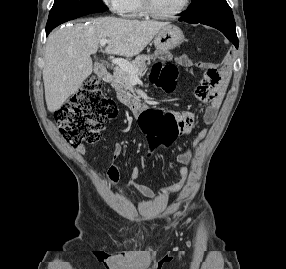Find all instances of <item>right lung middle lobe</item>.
<instances>
[{
	"mask_svg": "<svg viewBox=\"0 0 286 269\" xmlns=\"http://www.w3.org/2000/svg\"><path fill=\"white\" fill-rule=\"evenodd\" d=\"M106 9L102 0H55L49 13L46 29H54L66 21Z\"/></svg>",
	"mask_w": 286,
	"mask_h": 269,
	"instance_id": "dd1d6c3e",
	"label": "right lung middle lobe"
}]
</instances>
